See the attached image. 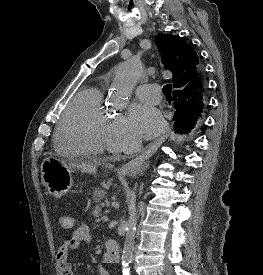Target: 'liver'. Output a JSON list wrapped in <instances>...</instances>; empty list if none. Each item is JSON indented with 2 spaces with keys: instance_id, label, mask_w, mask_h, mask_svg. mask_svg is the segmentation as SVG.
Here are the masks:
<instances>
[{
  "instance_id": "1",
  "label": "liver",
  "mask_w": 263,
  "mask_h": 275,
  "mask_svg": "<svg viewBox=\"0 0 263 275\" xmlns=\"http://www.w3.org/2000/svg\"><path fill=\"white\" fill-rule=\"evenodd\" d=\"M73 167L79 169L81 172L93 174L97 172V163L96 162H82L72 164Z\"/></svg>"
}]
</instances>
